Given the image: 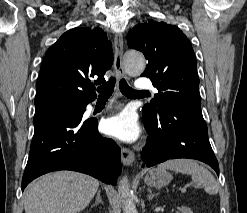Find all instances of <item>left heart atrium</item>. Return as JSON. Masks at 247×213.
Masks as SVG:
<instances>
[{
    "label": "left heart atrium",
    "instance_id": "left-heart-atrium-1",
    "mask_svg": "<svg viewBox=\"0 0 247 213\" xmlns=\"http://www.w3.org/2000/svg\"><path fill=\"white\" fill-rule=\"evenodd\" d=\"M102 130L107 135L128 143L135 141L140 133L136 118L130 112H122L106 119L102 123Z\"/></svg>",
    "mask_w": 247,
    "mask_h": 213
}]
</instances>
